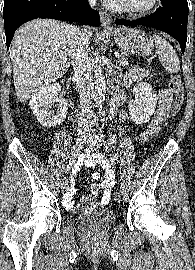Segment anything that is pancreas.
Segmentation results:
<instances>
[{"label": "pancreas", "instance_id": "obj_1", "mask_svg": "<svg viewBox=\"0 0 195 270\" xmlns=\"http://www.w3.org/2000/svg\"><path fill=\"white\" fill-rule=\"evenodd\" d=\"M118 58H119L118 62L120 63V65L125 66L128 64L127 53L120 54V56Z\"/></svg>", "mask_w": 195, "mask_h": 270}]
</instances>
